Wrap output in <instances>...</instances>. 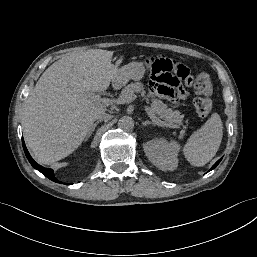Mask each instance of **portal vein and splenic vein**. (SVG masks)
Returning a JSON list of instances; mask_svg holds the SVG:
<instances>
[{
  "instance_id": "obj_1",
  "label": "portal vein and splenic vein",
  "mask_w": 257,
  "mask_h": 257,
  "mask_svg": "<svg viewBox=\"0 0 257 257\" xmlns=\"http://www.w3.org/2000/svg\"><path fill=\"white\" fill-rule=\"evenodd\" d=\"M88 97L93 100L94 102L101 104V105H109V104H124V103H130L132 101H134L136 99L135 95H131V96H119L117 99H110V98H102L99 95L90 93L88 95ZM144 109L147 112L148 116L153 120V122H155L156 124L159 125H166L169 126L171 128H177L179 126L174 125V124H163L153 113V111L151 110V108L147 105H144Z\"/></svg>"
}]
</instances>
